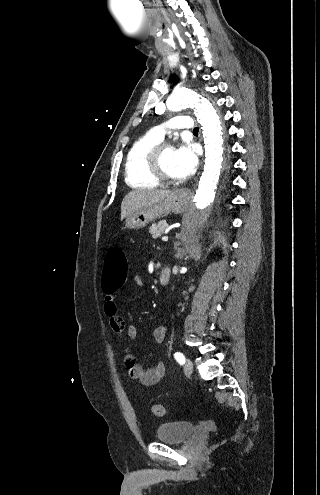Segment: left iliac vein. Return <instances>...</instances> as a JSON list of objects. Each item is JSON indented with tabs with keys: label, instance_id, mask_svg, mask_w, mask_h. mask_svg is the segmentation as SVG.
Listing matches in <instances>:
<instances>
[{
	"label": "left iliac vein",
	"instance_id": "obj_1",
	"mask_svg": "<svg viewBox=\"0 0 320 495\" xmlns=\"http://www.w3.org/2000/svg\"><path fill=\"white\" fill-rule=\"evenodd\" d=\"M184 372L187 375H190L193 372V363L190 359H186V362L184 365Z\"/></svg>",
	"mask_w": 320,
	"mask_h": 495
}]
</instances>
